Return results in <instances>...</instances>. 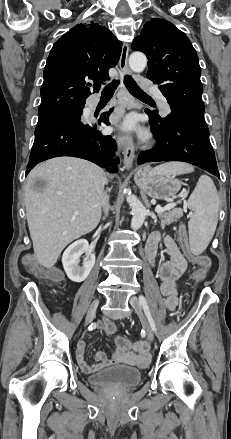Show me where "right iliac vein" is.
Listing matches in <instances>:
<instances>
[{"instance_id":"1","label":"right iliac vein","mask_w":231,"mask_h":439,"mask_svg":"<svg viewBox=\"0 0 231 439\" xmlns=\"http://www.w3.org/2000/svg\"><path fill=\"white\" fill-rule=\"evenodd\" d=\"M99 302H100V300H99V298H97L90 305V308H89L87 315H86L85 325H88L93 320L94 315H95L96 310H97V307L99 305Z\"/></svg>"}]
</instances>
